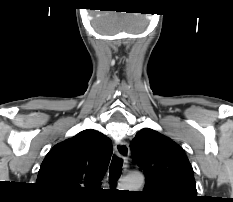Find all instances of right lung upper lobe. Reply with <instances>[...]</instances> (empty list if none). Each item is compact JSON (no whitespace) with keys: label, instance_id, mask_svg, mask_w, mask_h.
<instances>
[{"label":"right lung upper lobe","instance_id":"obj_1","mask_svg":"<svg viewBox=\"0 0 233 202\" xmlns=\"http://www.w3.org/2000/svg\"><path fill=\"white\" fill-rule=\"evenodd\" d=\"M112 155L111 140L93 129L55 145L43 160L37 182L58 196H81L100 186Z\"/></svg>","mask_w":233,"mask_h":202}]
</instances>
